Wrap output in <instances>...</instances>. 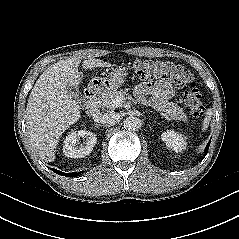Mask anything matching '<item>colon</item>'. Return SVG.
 I'll return each instance as SVG.
<instances>
[{"label":"colon","mask_w":239,"mask_h":239,"mask_svg":"<svg viewBox=\"0 0 239 239\" xmlns=\"http://www.w3.org/2000/svg\"><path fill=\"white\" fill-rule=\"evenodd\" d=\"M133 72L141 80L164 78L184 88L183 102L190 113L196 117L204 114L202 95L184 66L171 61L139 60L134 63Z\"/></svg>","instance_id":"colon-1"}]
</instances>
